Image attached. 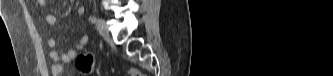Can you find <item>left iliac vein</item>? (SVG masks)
I'll use <instances>...</instances> for the list:
<instances>
[{
  "mask_svg": "<svg viewBox=\"0 0 333 76\" xmlns=\"http://www.w3.org/2000/svg\"><path fill=\"white\" fill-rule=\"evenodd\" d=\"M96 26H97V30H98L99 34L103 38L106 39V38L109 37L108 26H107V23H106V21L104 19L99 18L97 20Z\"/></svg>",
  "mask_w": 333,
  "mask_h": 76,
  "instance_id": "left-iliac-vein-1",
  "label": "left iliac vein"
}]
</instances>
